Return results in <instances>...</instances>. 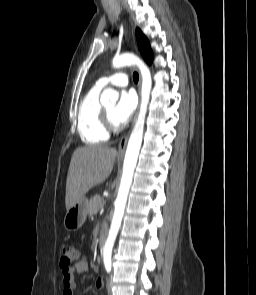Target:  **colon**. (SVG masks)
I'll list each match as a JSON object with an SVG mask.
<instances>
[{"label":"colon","mask_w":256,"mask_h":295,"mask_svg":"<svg viewBox=\"0 0 256 295\" xmlns=\"http://www.w3.org/2000/svg\"><path fill=\"white\" fill-rule=\"evenodd\" d=\"M79 260V252L75 245L71 242H64L61 245L60 264L63 269L72 268Z\"/></svg>","instance_id":"obj_1"}]
</instances>
